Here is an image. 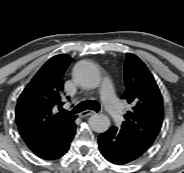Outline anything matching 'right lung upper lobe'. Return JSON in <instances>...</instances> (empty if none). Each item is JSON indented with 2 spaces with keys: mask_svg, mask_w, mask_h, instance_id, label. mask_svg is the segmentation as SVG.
I'll return each instance as SVG.
<instances>
[{
  "mask_svg": "<svg viewBox=\"0 0 184 173\" xmlns=\"http://www.w3.org/2000/svg\"><path fill=\"white\" fill-rule=\"evenodd\" d=\"M72 58L60 54L49 59L21 93L15 119L27 145L35 144L74 123L63 113L64 73Z\"/></svg>",
  "mask_w": 184,
  "mask_h": 173,
  "instance_id": "cb5924a9",
  "label": "right lung upper lobe"
}]
</instances>
